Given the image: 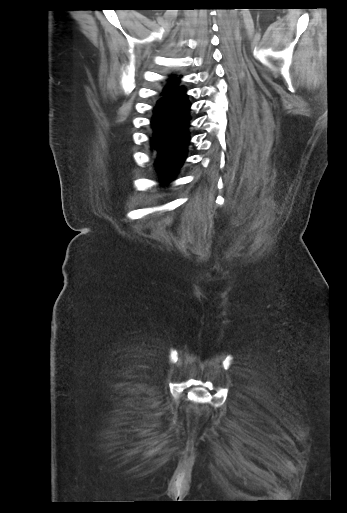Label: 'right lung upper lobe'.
I'll return each instance as SVG.
<instances>
[{"label":"right lung upper lobe","instance_id":"right-lung-upper-lobe-1","mask_svg":"<svg viewBox=\"0 0 347 513\" xmlns=\"http://www.w3.org/2000/svg\"><path fill=\"white\" fill-rule=\"evenodd\" d=\"M179 79L180 78H177L176 76L169 77V83L166 85V87H164L162 94H165L177 88Z\"/></svg>","mask_w":347,"mask_h":513}]
</instances>
